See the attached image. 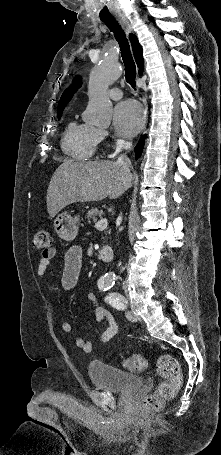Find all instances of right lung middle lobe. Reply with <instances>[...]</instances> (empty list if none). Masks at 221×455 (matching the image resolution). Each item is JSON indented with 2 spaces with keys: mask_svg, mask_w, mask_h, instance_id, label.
Segmentation results:
<instances>
[{
  "mask_svg": "<svg viewBox=\"0 0 221 455\" xmlns=\"http://www.w3.org/2000/svg\"><path fill=\"white\" fill-rule=\"evenodd\" d=\"M62 111H63V108H62V109H58V118H60V117H61V115H62Z\"/></svg>",
  "mask_w": 221,
  "mask_h": 455,
  "instance_id": "dd1d6c3e",
  "label": "right lung middle lobe"
}]
</instances>
